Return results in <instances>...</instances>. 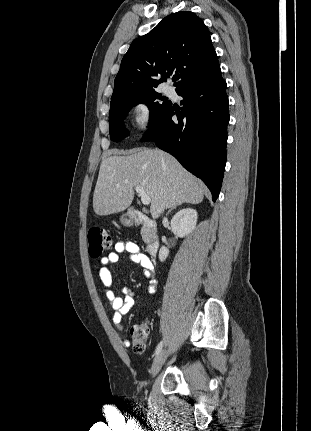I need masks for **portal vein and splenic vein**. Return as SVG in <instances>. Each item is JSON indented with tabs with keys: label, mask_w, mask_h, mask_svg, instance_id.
Masks as SVG:
<instances>
[{
	"label": "portal vein and splenic vein",
	"mask_w": 311,
	"mask_h": 431,
	"mask_svg": "<svg viewBox=\"0 0 311 431\" xmlns=\"http://www.w3.org/2000/svg\"><path fill=\"white\" fill-rule=\"evenodd\" d=\"M117 186H119V184H117ZM135 192H137L138 196H140L141 202L144 204V206H148V204H150L151 198L148 196V194H146L143 188H140V186H135Z\"/></svg>",
	"instance_id": "18ae733b"
}]
</instances>
